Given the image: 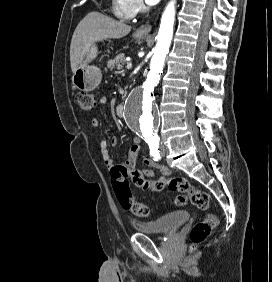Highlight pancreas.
Instances as JSON below:
<instances>
[{"instance_id":"obj_1","label":"pancreas","mask_w":272,"mask_h":282,"mask_svg":"<svg viewBox=\"0 0 272 282\" xmlns=\"http://www.w3.org/2000/svg\"><path fill=\"white\" fill-rule=\"evenodd\" d=\"M125 65V55L119 54L114 59H111L107 63L108 69L114 71V73H119L118 71L123 69Z\"/></svg>"}]
</instances>
